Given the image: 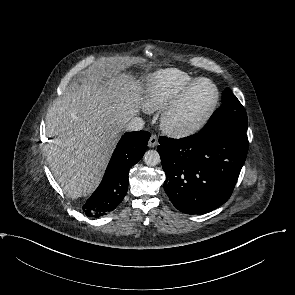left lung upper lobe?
<instances>
[{
	"mask_svg": "<svg viewBox=\"0 0 295 295\" xmlns=\"http://www.w3.org/2000/svg\"><path fill=\"white\" fill-rule=\"evenodd\" d=\"M248 127L247 114L229 88H226L222 94V105L218 108L204 129L228 128L246 134Z\"/></svg>",
	"mask_w": 295,
	"mask_h": 295,
	"instance_id": "left-lung-upper-lobe-1",
	"label": "left lung upper lobe"
}]
</instances>
